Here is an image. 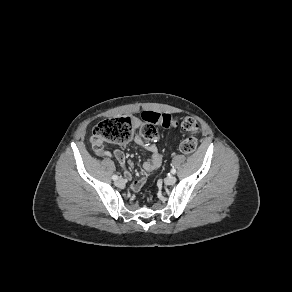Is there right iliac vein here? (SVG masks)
Wrapping results in <instances>:
<instances>
[{
	"instance_id": "63e3f726",
	"label": "right iliac vein",
	"mask_w": 292,
	"mask_h": 292,
	"mask_svg": "<svg viewBox=\"0 0 292 292\" xmlns=\"http://www.w3.org/2000/svg\"><path fill=\"white\" fill-rule=\"evenodd\" d=\"M115 185L119 188H123L124 185H125V182L122 178H118L116 181H115Z\"/></svg>"
}]
</instances>
